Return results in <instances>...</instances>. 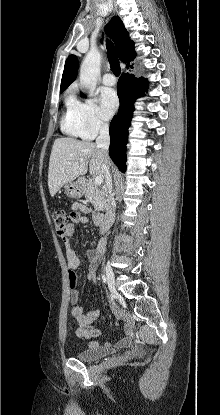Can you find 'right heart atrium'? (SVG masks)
<instances>
[{
    "instance_id": "1",
    "label": "right heart atrium",
    "mask_w": 220,
    "mask_h": 415,
    "mask_svg": "<svg viewBox=\"0 0 220 415\" xmlns=\"http://www.w3.org/2000/svg\"><path fill=\"white\" fill-rule=\"evenodd\" d=\"M78 113L82 127L83 139H93L107 130V123L100 117L94 100L85 99L78 104Z\"/></svg>"
}]
</instances>
